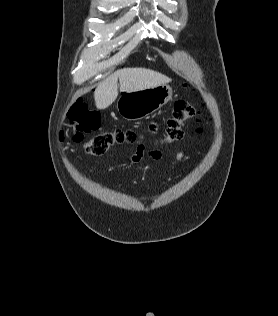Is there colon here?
<instances>
[{"label": "colon", "instance_id": "colon-1", "mask_svg": "<svg viewBox=\"0 0 278 316\" xmlns=\"http://www.w3.org/2000/svg\"><path fill=\"white\" fill-rule=\"evenodd\" d=\"M69 119L73 124L76 135L80 140L85 133L97 131L101 125L100 115L88 109L83 100H77L69 111ZM199 120L196 109L188 102L177 100L174 102L171 116L166 122L162 142L175 143L185 135V126L190 121ZM143 134L134 129H115L94 136L86 145V151L92 156H101L115 145L141 143Z\"/></svg>", "mask_w": 278, "mask_h": 316}]
</instances>
